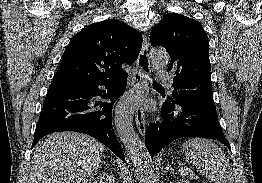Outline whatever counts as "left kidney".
I'll return each mask as SVG.
<instances>
[{"mask_svg":"<svg viewBox=\"0 0 262 183\" xmlns=\"http://www.w3.org/2000/svg\"><path fill=\"white\" fill-rule=\"evenodd\" d=\"M174 183H176V182H174ZM177 183H188L186 180H179V181H177Z\"/></svg>","mask_w":262,"mask_h":183,"instance_id":"5707ae66","label":"left kidney"}]
</instances>
